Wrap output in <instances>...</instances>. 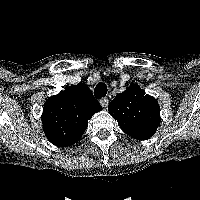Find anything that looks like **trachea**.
Returning a JSON list of instances; mask_svg holds the SVG:
<instances>
[{
	"label": "trachea",
	"instance_id": "obj_1",
	"mask_svg": "<svg viewBox=\"0 0 200 200\" xmlns=\"http://www.w3.org/2000/svg\"><path fill=\"white\" fill-rule=\"evenodd\" d=\"M107 91H108V89H107L106 84L103 82H100L95 87V90H94L95 97L96 98L104 97V96H106Z\"/></svg>",
	"mask_w": 200,
	"mask_h": 200
}]
</instances>
